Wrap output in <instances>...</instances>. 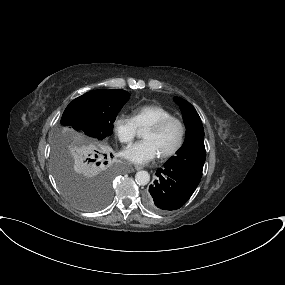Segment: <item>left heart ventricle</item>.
I'll use <instances>...</instances> for the list:
<instances>
[{
  "mask_svg": "<svg viewBox=\"0 0 285 285\" xmlns=\"http://www.w3.org/2000/svg\"><path fill=\"white\" fill-rule=\"evenodd\" d=\"M180 137L179 125L175 122L167 125L163 130L154 132L145 130L143 139L151 141L159 155L169 152L178 143Z\"/></svg>",
  "mask_w": 285,
  "mask_h": 285,
  "instance_id": "left-heart-ventricle-1",
  "label": "left heart ventricle"
}]
</instances>
